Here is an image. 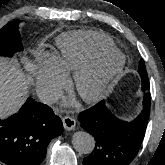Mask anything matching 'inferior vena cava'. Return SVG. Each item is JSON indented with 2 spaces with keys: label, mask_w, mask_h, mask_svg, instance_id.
<instances>
[{
  "label": "inferior vena cava",
  "mask_w": 165,
  "mask_h": 165,
  "mask_svg": "<svg viewBox=\"0 0 165 165\" xmlns=\"http://www.w3.org/2000/svg\"><path fill=\"white\" fill-rule=\"evenodd\" d=\"M62 95V91L59 87L52 85L42 86L37 91V96L41 100V102L46 104H52L56 102Z\"/></svg>",
  "instance_id": "1"
}]
</instances>
